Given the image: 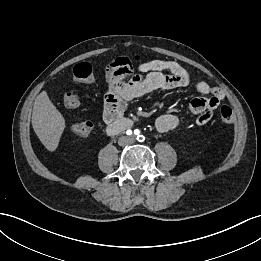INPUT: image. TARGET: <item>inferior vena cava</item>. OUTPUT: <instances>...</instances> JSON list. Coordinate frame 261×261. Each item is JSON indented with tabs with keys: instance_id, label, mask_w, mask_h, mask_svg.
<instances>
[{
	"instance_id": "obj_1",
	"label": "inferior vena cava",
	"mask_w": 261,
	"mask_h": 261,
	"mask_svg": "<svg viewBox=\"0 0 261 261\" xmlns=\"http://www.w3.org/2000/svg\"><path fill=\"white\" fill-rule=\"evenodd\" d=\"M128 142H131V141H130V140H128V141H127V143H128ZM119 144H120V145H122V143H121V142H119Z\"/></svg>"
}]
</instances>
